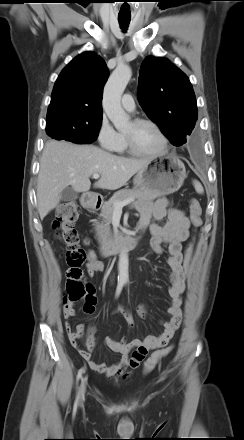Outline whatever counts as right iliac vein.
<instances>
[{"label": "right iliac vein", "instance_id": "1", "mask_svg": "<svg viewBox=\"0 0 244 440\" xmlns=\"http://www.w3.org/2000/svg\"><path fill=\"white\" fill-rule=\"evenodd\" d=\"M86 379H83L82 384L80 386V390H79V403L81 404L84 400V396H85V391H86Z\"/></svg>", "mask_w": 244, "mask_h": 440}]
</instances>
